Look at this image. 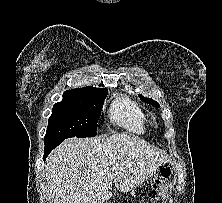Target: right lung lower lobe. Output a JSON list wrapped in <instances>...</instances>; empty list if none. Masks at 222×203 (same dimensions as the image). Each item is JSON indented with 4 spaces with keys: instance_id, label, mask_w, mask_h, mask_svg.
I'll return each mask as SVG.
<instances>
[{
    "instance_id": "98d812e1",
    "label": "right lung lower lobe",
    "mask_w": 222,
    "mask_h": 203,
    "mask_svg": "<svg viewBox=\"0 0 222 203\" xmlns=\"http://www.w3.org/2000/svg\"><path fill=\"white\" fill-rule=\"evenodd\" d=\"M59 142H49V143H45V150H44V160L46 159V157L48 156V154L59 145Z\"/></svg>"
}]
</instances>
